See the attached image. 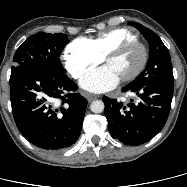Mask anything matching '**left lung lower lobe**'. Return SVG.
<instances>
[{
    "label": "left lung lower lobe",
    "instance_id": "0a47b994",
    "mask_svg": "<svg viewBox=\"0 0 187 187\" xmlns=\"http://www.w3.org/2000/svg\"><path fill=\"white\" fill-rule=\"evenodd\" d=\"M174 83H152L123 87L138 100L124 106L116 99L103 97L108 129L114 139L126 145H140L151 140L165 125L173 97Z\"/></svg>",
    "mask_w": 187,
    "mask_h": 187
}]
</instances>
